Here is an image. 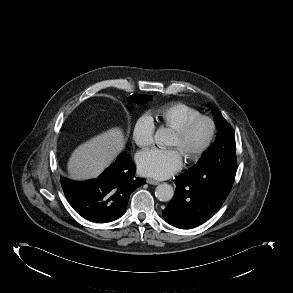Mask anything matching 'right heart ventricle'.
Instances as JSON below:
<instances>
[{"instance_id": "e07e8e85", "label": "right heart ventricle", "mask_w": 293, "mask_h": 293, "mask_svg": "<svg viewBox=\"0 0 293 293\" xmlns=\"http://www.w3.org/2000/svg\"><path fill=\"white\" fill-rule=\"evenodd\" d=\"M157 115L167 127L176 131L201 113L184 103H173L160 108Z\"/></svg>"}]
</instances>
